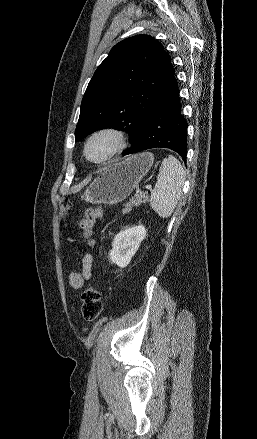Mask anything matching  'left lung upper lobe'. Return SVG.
<instances>
[{"instance_id": "obj_1", "label": "left lung upper lobe", "mask_w": 257, "mask_h": 439, "mask_svg": "<svg viewBox=\"0 0 257 439\" xmlns=\"http://www.w3.org/2000/svg\"><path fill=\"white\" fill-rule=\"evenodd\" d=\"M174 74L171 57L153 37L137 35L122 40L88 84L75 140L99 129L115 128L128 132L132 149L138 143L143 117Z\"/></svg>"}]
</instances>
